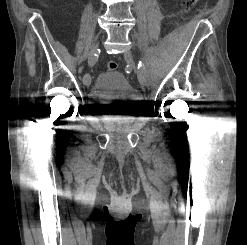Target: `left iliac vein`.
Instances as JSON below:
<instances>
[{
    "instance_id": "4c4485c4",
    "label": "left iliac vein",
    "mask_w": 247,
    "mask_h": 245,
    "mask_svg": "<svg viewBox=\"0 0 247 245\" xmlns=\"http://www.w3.org/2000/svg\"><path fill=\"white\" fill-rule=\"evenodd\" d=\"M124 57L126 59V61L128 62V64L136 71L137 75H138V79L139 82L141 83V85L147 86L149 84V75L148 73L145 71L144 73H140L139 70L137 69L136 63L134 61L133 55L130 51H125L124 52Z\"/></svg>"
}]
</instances>
